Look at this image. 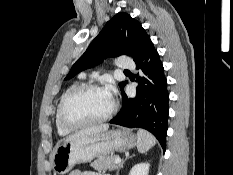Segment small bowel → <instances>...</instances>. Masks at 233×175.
Masks as SVG:
<instances>
[{"mask_svg":"<svg viewBox=\"0 0 233 175\" xmlns=\"http://www.w3.org/2000/svg\"><path fill=\"white\" fill-rule=\"evenodd\" d=\"M69 175H110L97 171H82V170H74Z\"/></svg>","mask_w":233,"mask_h":175,"instance_id":"obj_1","label":"small bowel"}]
</instances>
